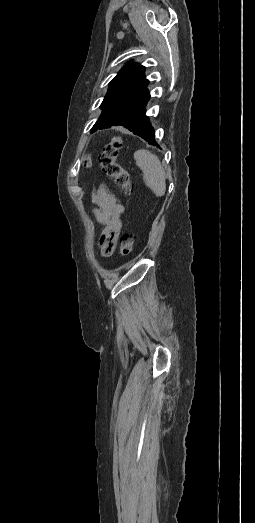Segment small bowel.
I'll use <instances>...</instances> for the list:
<instances>
[{"label":"small bowel","instance_id":"small-bowel-1","mask_svg":"<svg viewBox=\"0 0 255 523\" xmlns=\"http://www.w3.org/2000/svg\"><path fill=\"white\" fill-rule=\"evenodd\" d=\"M93 214L101 225L99 247L104 257L110 256L115 249L119 234L123 228V205L104 186L97 187L92 194Z\"/></svg>","mask_w":255,"mask_h":523}]
</instances>
